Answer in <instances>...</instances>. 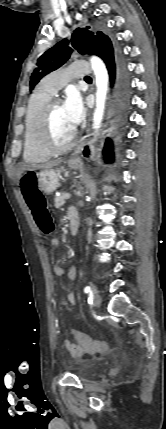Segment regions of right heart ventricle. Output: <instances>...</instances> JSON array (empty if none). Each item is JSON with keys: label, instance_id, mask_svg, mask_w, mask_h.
<instances>
[{"label": "right heart ventricle", "instance_id": "right-heart-ventricle-1", "mask_svg": "<svg viewBox=\"0 0 166 429\" xmlns=\"http://www.w3.org/2000/svg\"><path fill=\"white\" fill-rule=\"evenodd\" d=\"M52 97L53 94L39 87L29 99L25 115L23 146V158L29 163H43L51 157V154L39 143V121L45 105Z\"/></svg>", "mask_w": 166, "mask_h": 429}]
</instances>
